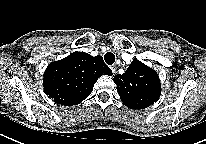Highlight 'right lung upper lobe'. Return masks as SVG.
Masks as SVG:
<instances>
[{"label": "right lung upper lobe", "instance_id": "cb5924a9", "mask_svg": "<svg viewBox=\"0 0 206 144\" xmlns=\"http://www.w3.org/2000/svg\"><path fill=\"white\" fill-rule=\"evenodd\" d=\"M102 75H112L102 56L73 52L48 65L43 78L44 91L58 104L77 105L90 95Z\"/></svg>", "mask_w": 206, "mask_h": 144}]
</instances>
